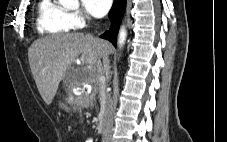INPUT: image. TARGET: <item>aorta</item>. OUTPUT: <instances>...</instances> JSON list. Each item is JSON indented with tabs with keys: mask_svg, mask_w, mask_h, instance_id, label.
<instances>
[{
	"mask_svg": "<svg viewBox=\"0 0 227 142\" xmlns=\"http://www.w3.org/2000/svg\"><path fill=\"white\" fill-rule=\"evenodd\" d=\"M59 2L63 5L74 6L78 3V0H59ZM126 36H127V32H126L125 26H122L118 37V43L120 47H122L123 44L125 43Z\"/></svg>",
	"mask_w": 227,
	"mask_h": 142,
	"instance_id": "762f6f07",
	"label": "aorta"
}]
</instances>
